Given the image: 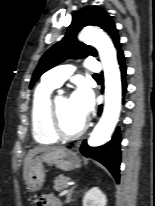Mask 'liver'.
Here are the masks:
<instances>
[{"instance_id": "1", "label": "liver", "mask_w": 155, "mask_h": 206, "mask_svg": "<svg viewBox=\"0 0 155 206\" xmlns=\"http://www.w3.org/2000/svg\"><path fill=\"white\" fill-rule=\"evenodd\" d=\"M58 148L56 147H36L34 149L29 150L28 154L25 157L24 160V179H26V175L29 169V166L31 164L32 159L39 153L42 152H47V151H51V150H56Z\"/></svg>"}]
</instances>
